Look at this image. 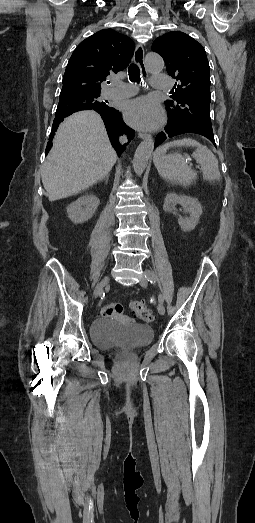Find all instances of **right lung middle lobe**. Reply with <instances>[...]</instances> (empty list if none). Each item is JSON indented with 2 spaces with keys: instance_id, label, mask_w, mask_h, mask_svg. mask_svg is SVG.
Segmentation results:
<instances>
[{
  "instance_id": "obj_1",
  "label": "right lung middle lobe",
  "mask_w": 255,
  "mask_h": 523,
  "mask_svg": "<svg viewBox=\"0 0 255 523\" xmlns=\"http://www.w3.org/2000/svg\"><path fill=\"white\" fill-rule=\"evenodd\" d=\"M99 96L100 93L93 92H61L60 101H73L74 107L86 109L90 106V101Z\"/></svg>"
}]
</instances>
